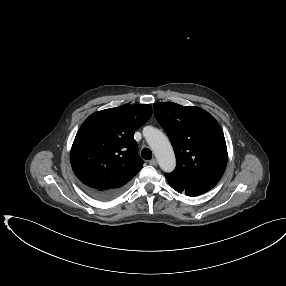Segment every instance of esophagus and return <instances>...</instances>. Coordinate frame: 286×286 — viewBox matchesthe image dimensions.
Here are the masks:
<instances>
[{"label": "esophagus", "instance_id": "obj_1", "mask_svg": "<svg viewBox=\"0 0 286 286\" xmlns=\"http://www.w3.org/2000/svg\"><path fill=\"white\" fill-rule=\"evenodd\" d=\"M149 163H150V165H152V166H156V165H157V160H156L155 158H153V159H151V160L149 161Z\"/></svg>", "mask_w": 286, "mask_h": 286}]
</instances>
